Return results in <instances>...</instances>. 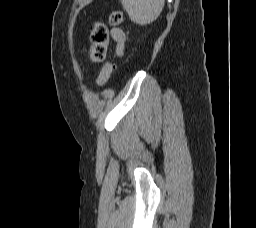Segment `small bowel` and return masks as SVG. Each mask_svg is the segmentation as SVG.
<instances>
[{"label": "small bowel", "instance_id": "1", "mask_svg": "<svg viewBox=\"0 0 256 228\" xmlns=\"http://www.w3.org/2000/svg\"><path fill=\"white\" fill-rule=\"evenodd\" d=\"M111 37L116 43L115 53L118 57H121L125 49L126 36L123 30L117 27H112L110 30Z\"/></svg>", "mask_w": 256, "mask_h": 228}]
</instances>
